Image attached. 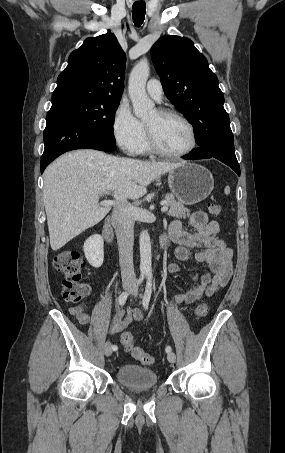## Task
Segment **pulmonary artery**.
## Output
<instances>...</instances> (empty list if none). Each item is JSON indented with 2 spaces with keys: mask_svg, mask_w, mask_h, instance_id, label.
<instances>
[{
  "mask_svg": "<svg viewBox=\"0 0 285 453\" xmlns=\"http://www.w3.org/2000/svg\"><path fill=\"white\" fill-rule=\"evenodd\" d=\"M148 95L157 102H160L163 97V88L159 80L151 79L146 87Z\"/></svg>",
  "mask_w": 285,
  "mask_h": 453,
  "instance_id": "1",
  "label": "pulmonary artery"
}]
</instances>
